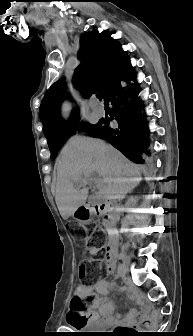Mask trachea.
Instances as JSON below:
<instances>
[{"label":"trachea","mask_w":193,"mask_h":336,"mask_svg":"<svg viewBox=\"0 0 193 336\" xmlns=\"http://www.w3.org/2000/svg\"><path fill=\"white\" fill-rule=\"evenodd\" d=\"M96 97H97L99 100H102V95H101V93H97V94H96Z\"/></svg>","instance_id":"1"}]
</instances>
